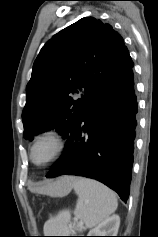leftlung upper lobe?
I'll return each mask as SVG.
<instances>
[{
    "instance_id": "left-lung-upper-lobe-1",
    "label": "left lung upper lobe",
    "mask_w": 158,
    "mask_h": 237,
    "mask_svg": "<svg viewBox=\"0 0 158 237\" xmlns=\"http://www.w3.org/2000/svg\"><path fill=\"white\" fill-rule=\"evenodd\" d=\"M133 65L123 38L93 17L55 34L42 47L26 87L25 138L32 141L53 128L67 138L88 103Z\"/></svg>"
}]
</instances>
